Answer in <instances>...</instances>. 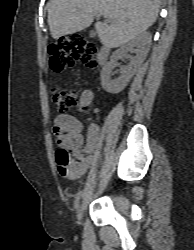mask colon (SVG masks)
Segmentation results:
<instances>
[{
  "label": "colon",
  "instance_id": "5ec220e1",
  "mask_svg": "<svg viewBox=\"0 0 194 250\" xmlns=\"http://www.w3.org/2000/svg\"><path fill=\"white\" fill-rule=\"evenodd\" d=\"M49 66L54 73H60L68 67L81 62L91 68L97 65V47L95 44L86 41L82 36L73 34L64 37L48 47ZM52 98L61 113L70 109L78 108L86 111L88 105L82 104L77 93L74 90L55 87L52 89ZM58 166L67 168L70 165L71 158L64 149L56 151Z\"/></svg>",
  "mask_w": 194,
  "mask_h": 250
}]
</instances>
